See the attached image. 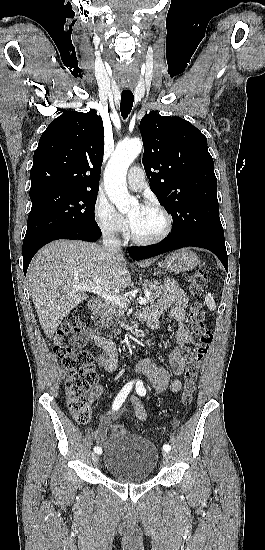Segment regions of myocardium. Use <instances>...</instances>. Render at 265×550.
<instances>
[{
    "label": "myocardium",
    "instance_id": "1",
    "mask_svg": "<svg viewBox=\"0 0 265 550\" xmlns=\"http://www.w3.org/2000/svg\"><path fill=\"white\" fill-rule=\"evenodd\" d=\"M143 207L158 211L165 219V227L159 235H157L153 238H146L145 239V238H140V237L136 236L134 234V232L132 231L131 226L129 225V236H130L131 240L135 244L141 245V246H149V245H154V244L162 242L172 232V229H173V217H172V215L163 206H161L159 203H156V202H147L143 205Z\"/></svg>",
    "mask_w": 265,
    "mask_h": 550
}]
</instances>
